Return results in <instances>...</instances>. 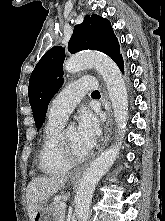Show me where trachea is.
Returning <instances> with one entry per match:
<instances>
[{
    "mask_svg": "<svg viewBox=\"0 0 165 221\" xmlns=\"http://www.w3.org/2000/svg\"><path fill=\"white\" fill-rule=\"evenodd\" d=\"M92 94H93V95H99L100 93H99L98 90H96V91H93Z\"/></svg>",
    "mask_w": 165,
    "mask_h": 221,
    "instance_id": "obj_1",
    "label": "trachea"
}]
</instances>
